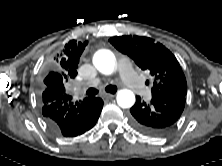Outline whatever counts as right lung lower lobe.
Returning a JSON list of instances; mask_svg holds the SVG:
<instances>
[{
  "instance_id": "1",
  "label": "right lung lower lobe",
  "mask_w": 222,
  "mask_h": 166,
  "mask_svg": "<svg viewBox=\"0 0 222 166\" xmlns=\"http://www.w3.org/2000/svg\"><path fill=\"white\" fill-rule=\"evenodd\" d=\"M41 102L47 126L55 134L64 137H75L91 129L103 107L100 98L73 102L70 95L50 87L44 89Z\"/></svg>"
}]
</instances>
